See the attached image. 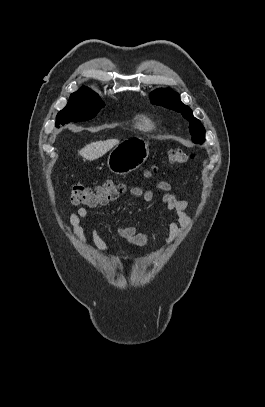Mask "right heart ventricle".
Returning <instances> with one entry per match:
<instances>
[{
    "label": "right heart ventricle",
    "instance_id": "obj_1",
    "mask_svg": "<svg viewBox=\"0 0 265 407\" xmlns=\"http://www.w3.org/2000/svg\"><path fill=\"white\" fill-rule=\"evenodd\" d=\"M137 128L142 131H151L154 128V125L148 117L141 116L137 123Z\"/></svg>",
    "mask_w": 265,
    "mask_h": 407
}]
</instances>
